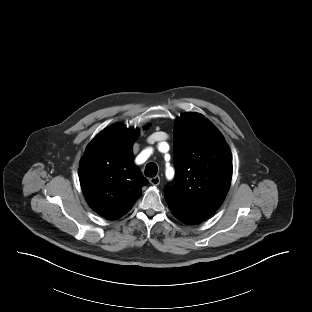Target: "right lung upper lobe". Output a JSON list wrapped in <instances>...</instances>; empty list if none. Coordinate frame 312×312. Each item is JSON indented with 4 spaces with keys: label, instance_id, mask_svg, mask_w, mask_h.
<instances>
[{
    "label": "right lung upper lobe",
    "instance_id": "obj_1",
    "mask_svg": "<svg viewBox=\"0 0 312 312\" xmlns=\"http://www.w3.org/2000/svg\"><path fill=\"white\" fill-rule=\"evenodd\" d=\"M138 129L115 124L101 131L80 160L79 179L88 204L101 216L122 217L140 197L148 180L133 163Z\"/></svg>",
    "mask_w": 312,
    "mask_h": 312
}]
</instances>
